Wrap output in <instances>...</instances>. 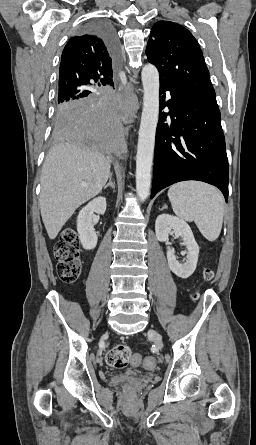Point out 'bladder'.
Segmentation results:
<instances>
[{"instance_id":"bladder-1","label":"bladder","mask_w":256,"mask_h":445,"mask_svg":"<svg viewBox=\"0 0 256 445\" xmlns=\"http://www.w3.org/2000/svg\"><path fill=\"white\" fill-rule=\"evenodd\" d=\"M127 374H128V375L136 376V375L138 374V372L135 371V370H133V369H129V370H127Z\"/></svg>"}]
</instances>
